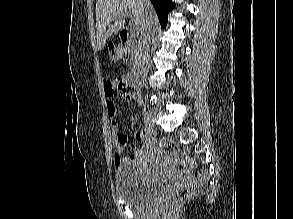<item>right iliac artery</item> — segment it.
Masks as SVG:
<instances>
[{
    "mask_svg": "<svg viewBox=\"0 0 293 219\" xmlns=\"http://www.w3.org/2000/svg\"><path fill=\"white\" fill-rule=\"evenodd\" d=\"M144 131L148 134L149 133V127L146 125L144 126Z\"/></svg>",
    "mask_w": 293,
    "mask_h": 219,
    "instance_id": "1",
    "label": "right iliac artery"
}]
</instances>
